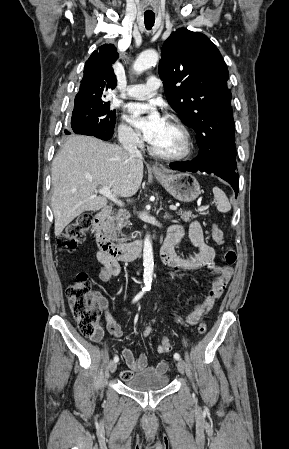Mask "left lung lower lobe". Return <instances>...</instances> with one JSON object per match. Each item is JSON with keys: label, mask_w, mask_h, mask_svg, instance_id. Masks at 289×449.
Instances as JSON below:
<instances>
[{"label": "left lung lower lobe", "mask_w": 289, "mask_h": 449, "mask_svg": "<svg viewBox=\"0 0 289 449\" xmlns=\"http://www.w3.org/2000/svg\"><path fill=\"white\" fill-rule=\"evenodd\" d=\"M170 168L182 172H207L208 174L213 173L218 177L227 181L235 191L237 196L239 190V174L236 171L237 162L236 159L231 160L227 163H219L214 160H202L196 157L192 161H182L170 164Z\"/></svg>", "instance_id": "obj_1"}]
</instances>
